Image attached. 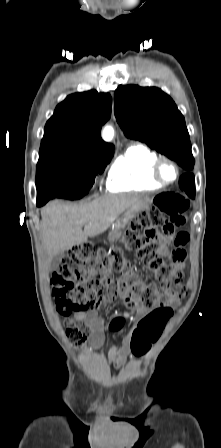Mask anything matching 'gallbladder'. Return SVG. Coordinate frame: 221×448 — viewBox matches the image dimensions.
Masks as SVG:
<instances>
[{
  "label": "gallbladder",
  "instance_id": "obj_1",
  "mask_svg": "<svg viewBox=\"0 0 221 448\" xmlns=\"http://www.w3.org/2000/svg\"><path fill=\"white\" fill-rule=\"evenodd\" d=\"M64 257H65L64 252H60L59 254L55 255L50 262V270L57 269Z\"/></svg>",
  "mask_w": 221,
  "mask_h": 448
}]
</instances>
